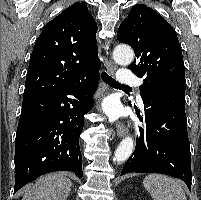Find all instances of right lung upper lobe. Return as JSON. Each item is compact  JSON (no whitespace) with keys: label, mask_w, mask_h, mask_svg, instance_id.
Returning <instances> with one entry per match:
<instances>
[{"label":"right lung upper lobe","mask_w":201,"mask_h":200,"mask_svg":"<svg viewBox=\"0 0 201 200\" xmlns=\"http://www.w3.org/2000/svg\"><path fill=\"white\" fill-rule=\"evenodd\" d=\"M96 32V21L79 2L48 22L32 51L23 100L63 91L98 72Z\"/></svg>","instance_id":"obj_1"}]
</instances>
